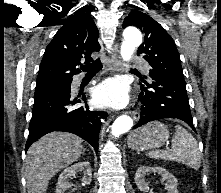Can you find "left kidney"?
I'll use <instances>...</instances> for the list:
<instances>
[{
	"label": "left kidney",
	"mask_w": 221,
	"mask_h": 193,
	"mask_svg": "<svg viewBox=\"0 0 221 193\" xmlns=\"http://www.w3.org/2000/svg\"><path fill=\"white\" fill-rule=\"evenodd\" d=\"M151 172L158 173L161 175L162 180L166 181L165 189L168 193H178L177 185L178 181L173 174H170L166 169L160 166H141L138 168L136 175H135V182L137 187L142 192H148L149 187L145 181V176Z\"/></svg>",
	"instance_id": "5707ae66"
}]
</instances>
